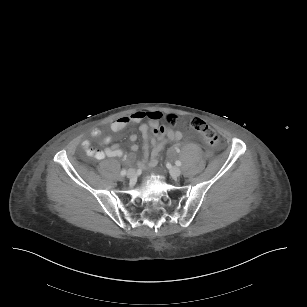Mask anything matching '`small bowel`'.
Segmentation results:
<instances>
[{
    "instance_id": "c3829d8e",
    "label": "small bowel",
    "mask_w": 307,
    "mask_h": 307,
    "mask_svg": "<svg viewBox=\"0 0 307 307\" xmlns=\"http://www.w3.org/2000/svg\"><path fill=\"white\" fill-rule=\"evenodd\" d=\"M162 118V114L159 111H135L128 115L117 118L111 123V129L114 132L121 131L125 129L130 124L141 123L144 120H147L146 123H142L140 126V131L143 137L142 150L144 153V158L138 162L141 168H151L154 167L157 162L160 153L163 151L164 147L170 143L179 141L182 139L183 134L180 131L174 130L172 134L165 135L162 139H155L151 135V128L155 124H159V121ZM91 135L94 138L102 137V131L98 128H94L91 131ZM137 136L132 134L130 136L131 141V150L133 152L138 150V145L135 143ZM111 141L110 136H104L101 139V144L107 145ZM83 150L87 155L96 160H102L106 157H122L123 152L119 145H113L111 147H106L105 149H93L91 148L90 142L85 140L81 144ZM125 159L128 162L134 161L135 156L133 153L126 155Z\"/></svg>"
}]
</instances>
